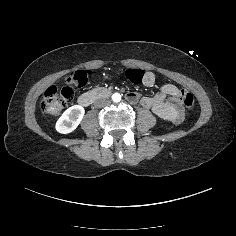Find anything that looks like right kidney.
Instances as JSON below:
<instances>
[{
    "label": "right kidney",
    "instance_id": "1",
    "mask_svg": "<svg viewBox=\"0 0 236 236\" xmlns=\"http://www.w3.org/2000/svg\"><path fill=\"white\" fill-rule=\"evenodd\" d=\"M85 110L80 105L69 107L56 122V130L67 134L74 131L83 119Z\"/></svg>",
    "mask_w": 236,
    "mask_h": 236
}]
</instances>
